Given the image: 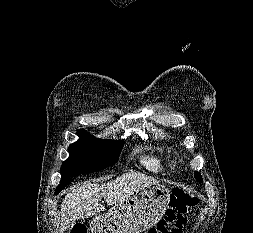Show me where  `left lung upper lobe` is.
I'll return each instance as SVG.
<instances>
[{"label": "left lung upper lobe", "mask_w": 253, "mask_h": 233, "mask_svg": "<svg viewBox=\"0 0 253 233\" xmlns=\"http://www.w3.org/2000/svg\"><path fill=\"white\" fill-rule=\"evenodd\" d=\"M194 176H195V178H196L198 181L203 182L202 177H201V175H200L199 172H195V173H194Z\"/></svg>", "instance_id": "5c2ea615"}]
</instances>
